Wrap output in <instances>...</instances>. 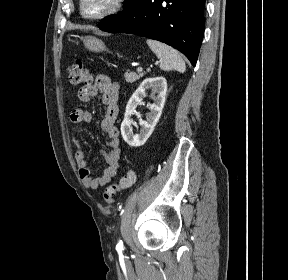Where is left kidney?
Listing matches in <instances>:
<instances>
[{
	"label": "left kidney",
	"mask_w": 288,
	"mask_h": 280,
	"mask_svg": "<svg viewBox=\"0 0 288 280\" xmlns=\"http://www.w3.org/2000/svg\"><path fill=\"white\" fill-rule=\"evenodd\" d=\"M151 89L152 93H157L153 104H148L150 112L147 114L146 120L140 119L141 126L138 134H133L131 116L136 112L135 109L141 103L146 91ZM167 92V81L164 77H153L145 79L137 90L130 97L123 122L121 124V134L125 142L132 147L144 145L147 139L152 134L164 107Z\"/></svg>",
	"instance_id": "left-kidney-1"
}]
</instances>
